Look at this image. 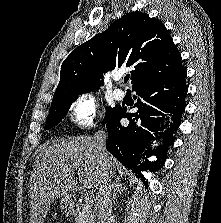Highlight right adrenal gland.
I'll use <instances>...</instances> for the list:
<instances>
[{
	"label": "right adrenal gland",
	"instance_id": "2a0ac1e0",
	"mask_svg": "<svg viewBox=\"0 0 221 223\" xmlns=\"http://www.w3.org/2000/svg\"><path fill=\"white\" fill-rule=\"evenodd\" d=\"M112 187H113V202H115L117 194L123 192L124 190H126V186H123V184L121 183L120 179L117 178L115 180V182L113 183Z\"/></svg>",
	"mask_w": 221,
	"mask_h": 223
}]
</instances>
